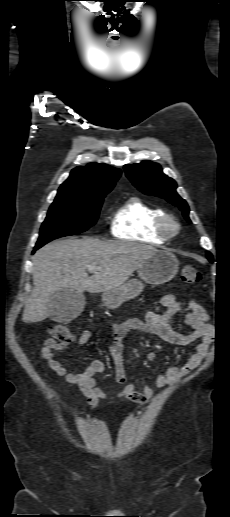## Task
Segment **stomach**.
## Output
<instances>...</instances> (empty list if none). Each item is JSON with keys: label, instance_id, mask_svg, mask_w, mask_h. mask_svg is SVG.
<instances>
[{"label": "stomach", "instance_id": "obj_1", "mask_svg": "<svg viewBox=\"0 0 230 517\" xmlns=\"http://www.w3.org/2000/svg\"><path fill=\"white\" fill-rule=\"evenodd\" d=\"M176 256L165 250H157L140 267L138 279H131L122 286L103 292V305L109 309L118 308L123 302L134 299L142 292L144 284H162L170 281L178 272Z\"/></svg>", "mask_w": 230, "mask_h": 517}]
</instances>
